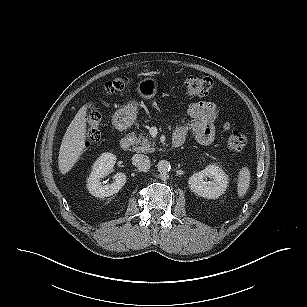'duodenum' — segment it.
Wrapping results in <instances>:
<instances>
[{
  "label": "duodenum",
  "instance_id": "duodenum-1",
  "mask_svg": "<svg viewBox=\"0 0 307 307\" xmlns=\"http://www.w3.org/2000/svg\"><path fill=\"white\" fill-rule=\"evenodd\" d=\"M132 143H133V138L129 134L124 135L120 140V146L123 149L129 148L132 145ZM182 143L183 141L181 139L174 138L172 141V148H178L179 146L182 145Z\"/></svg>",
  "mask_w": 307,
  "mask_h": 307
}]
</instances>
